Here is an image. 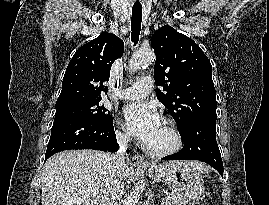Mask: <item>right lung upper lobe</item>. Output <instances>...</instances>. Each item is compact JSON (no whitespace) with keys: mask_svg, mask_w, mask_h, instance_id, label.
Here are the masks:
<instances>
[{"mask_svg":"<svg viewBox=\"0 0 269 205\" xmlns=\"http://www.w3.org/2000/svg\"><path fill=\"white\" fill-rule=\"evenodd\" d=\"M123 50V41L108 32L81 46L67 66L55 107L101 100L107 93L103 82L109 80L111 65Z\"/></svg>","mask_w":269,"mask_h":205,"instance_id":"right-lung-upper-lobe-1","label":"right lung upper lobe"}]
</instances>
